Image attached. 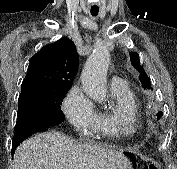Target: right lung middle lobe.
I'll return each mask as SVG.
<instances>
[{
	"label": "right lung middle lobe",
	"instance_id": "obj_1",
	"mask_svg": "<svg viewBox=\"0 0 177 169\" xmlns=\"http://www.w3.org/2000/svg\"><path fill=\"white\" fill-rule=\"evenodd\" d=\"M65 94L66 92L48 100L33 97L19 99L17 122L30 118L52 126L61 123L64 115L60 104Z\"/></svg>",
	"mask_w": 177,
	"mask_h": 169
}]
</instances>
